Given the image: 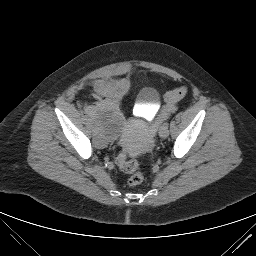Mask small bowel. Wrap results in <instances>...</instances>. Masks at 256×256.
Segmentation results:
<instances>
[{"mask_svg":"<svg viewBox=\"0 0 256 256\" xmlns=\"http://www.w3.org/2000/svg\"><path fill=\"white\" fill-rule=\"evenodd\" d=\"M96 87L99 91H103L105 90L107 87H108V83L106 81H103V80H99L97 83H96ZM171 111V108L170 107H167L165 108L161 114H160V118H164L169 112Z\"/></svg>","mask_w":256,"mask_h":256,"instance_id":"1","label":"small bowel"}]
</instances>
